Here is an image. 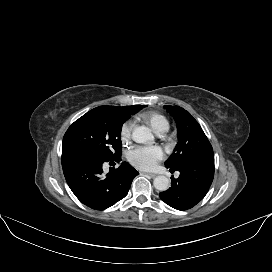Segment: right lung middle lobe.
Instances as JSON below:
<instances>
[{"label":"right lung middle lobe","mask_w":272,"mask_h":272,"mask_svg":"<svg viewBox=\"0 0 272 272\" xmlns=\"http://www.w3.org/2000/svg\"><path fill=\"white\" fill-rule=\"evenodd\" d=\"M130 115L131 112L116 106H99L90 110L66 131L62 154L84 153L103 160L119 158L122 151L121 128Z\"/></svg>","instance_id":"obj_1"}]
</instances>
